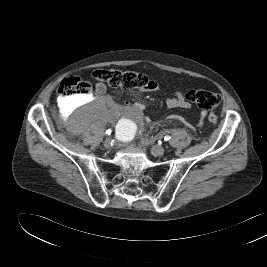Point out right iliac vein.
<instances>
[{
    "mask_svg": "<svg viewBox=\"0 0 267 267\" xmlns=\"http://www.w3.org/2000/svg\"><path fill=\"white\" fill-rule=\"evenodd\" d=\"M104 146L106 148H110L111 146V139L110 138H106L105 141H104Z\"/></svg>",
    "mask_w": 267,
    "mask_h": 267,
    "instance_id": "obj_1",
    "label": "right iliac vein"
}]
</instances>
